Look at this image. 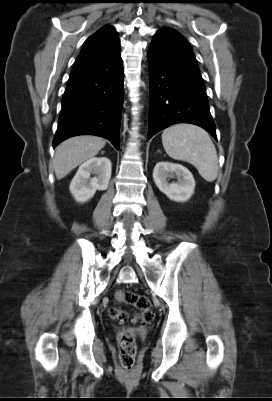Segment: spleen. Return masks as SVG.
<instances>
[{
	"instance_id": "obj_1",
	"label": "spleen",
	"mask_w": 272,
	"mask_h": 401,
	"mask_svg": "<svg viewBox=\"0 0 272 401\" xmlns=\"http://www.w3.org/2000/svg\"><path fill=\"white\" fill-rule=\"evenodd\" d=\"M162 144L171 158L192 164L207 182L217 178V152L205 130L189 124L173 125L163 131Z\"/></svg>"
}]
</instances>
